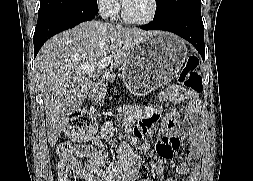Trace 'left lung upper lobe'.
<instances>
[{
  "label": "left lung upper lobe",
  "mask_w": 253,
  "mask_h": 181,
  "mask_svg": "<svg viewBox=\"0 0 253 181\" xmlns=\"http://www.w3.org/2000/svg\"><path fill=\"white\" fill-rule=\"evenodd\" d=\"M183 12L201 13V0H157L154 20Z\"/></svg>",
  "instance_id": "5c2ea615"
}]
</instances>
